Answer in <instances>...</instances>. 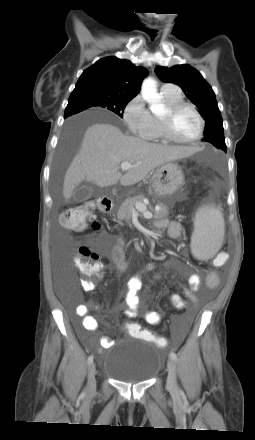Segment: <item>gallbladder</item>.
Wrapping results in <instances>:
<instances>
[{
  "label": "gallbladder",
  "instance_id": "bac80fb5",
  "mask_svg": "<svg viewBox=\"0 0 255 440\" xmlns=\"http://www.w3.org/2000/svg\"><path fill=\"white\" fill-rule=\"evenodd\" d=\"M92 196V187L89 185H82L75 189L71 196L73 202H83Z\"/></svg>",
  "mask_w": 255,
  "mask_h": 440
}]
</instances>
